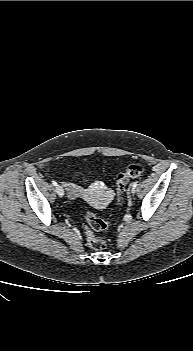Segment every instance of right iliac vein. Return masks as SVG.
<instances>
[{
	"label": "right iliac vein",
	"mask_w": 193,
	"mask_h": 351,
	"mask_svg": "<svg viewBox=\"0 0 193 351\" xmlns=\"http://www.w3.org/2000/svg\"><path fill=\"white\" fill-rule=\"evenodd\" d=\"M56 192H57V194H58L60 197H63V196H64V189H63L62 186L57 185V186H56Z\"/></svg>",
	"instance_id": "obj_1"
}]
</instances>
